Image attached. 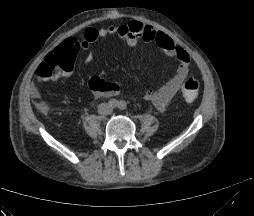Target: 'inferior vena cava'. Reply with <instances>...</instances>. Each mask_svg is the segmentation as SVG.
I'll list each match as a JSON object with an SVG mask.
<instances>
[{
	"label": "inferior vena cava",
	"mask_w": 254,
	"mask_h": 216,
	"mask_svg": "<svg viewBox=\"0 0 254 216\" xmlns=\"http://www.w3.org/2000/svg\"><path fill=\"white\" fill-rule=\"evenodd\" d=\"M98 112L102 115H108L112 112V108L107 103H102L98 107Z\"/></svg>",
	"instance_id": "inferior-vena-cava-1"
}]
</instances>
